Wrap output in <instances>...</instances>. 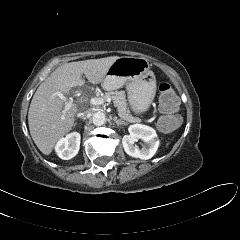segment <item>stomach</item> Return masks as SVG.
<instances>
[{
  "instance_id": "stomach-1",
  "label": "stomach",
  "mask_w": 240,
  "mask_h": 240,
  "mask_svg": "<svg viewBox=\"0 0 240 240\" xmlns=\"http://www.w3.org/2000/svg\"><path fill=\"white\" fill-rule=\"evenodd\" d=\"M123 86H126L132 111L136 114L146 112L156 92V79L148 60L125 56L111 65L102 81L103 89L111 91Z\"/></svg>"
}]
</instances>
